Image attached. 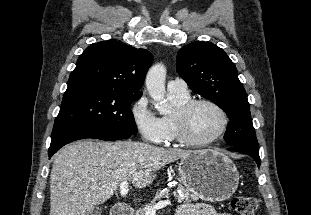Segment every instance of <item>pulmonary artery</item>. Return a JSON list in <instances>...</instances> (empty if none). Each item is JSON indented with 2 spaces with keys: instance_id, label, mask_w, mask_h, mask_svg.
Listing matches in <instances>:
<instances>
[{
  "instance_id": "e3ab8cb5",
  "label": "pulmonary artery",
  "mask_w": 311,
  "mask_h": 215,
  "mask_svg": "<svg viewBox=\"0 0 311 215\" xmlns=\"http://www.w3.org/2000/svg\"><path fill=\"white\" fill-rule=\"evenodd\" d=\"M167 90L170 93H179V94L189 93L186 82L181 78L170 80L167 84Z\"/></svg>"
}]
</instances>
